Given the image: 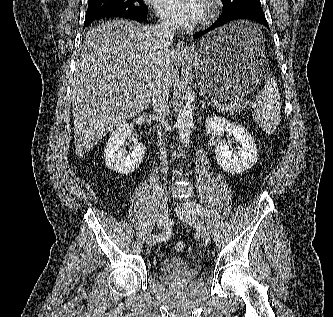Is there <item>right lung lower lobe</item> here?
Returning a JSON list of instances; mask_svg holds the SVG:
<instances>
[{
    "instance_id": "98d812e1",
    "label": "right lung lower lobe",
    "mask_w": 333,
    "mask_h": 317,
    "mask_svg": "<svg viewBox=\"0 0 333 317\" xmlns=\"http://www.w3.org/2000/svg\"><path fill=\"white\" fill-rule=\"evenodd\" d=\"M147 12H132V13L106 12V13L96 14V15H94V14L86 15L84 27L89 25L94 20L109 18V17H119V18L135 20L138 22H143L147 17Z\"/></svg>"
}]
</instances>
